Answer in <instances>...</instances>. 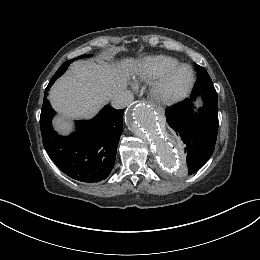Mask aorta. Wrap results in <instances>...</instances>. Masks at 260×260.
<instances>
[{"mask_svg": "<svg viewBox=\"0 0 260 260\" xmlns=\"http://www.w3.org/2000/svg\"><path fill=\"white\" fill-rule=\"evenodd\" d=\"M126 120L132 132L150 146L163 168L183 165L179 138L166 133L164 123L150 106L144 103L135 104Z\"/></svg>", "mask_w": 260, "mask_h": 260, "instance_id": "762f6f07", "label": "aorta"}]
</instances>
